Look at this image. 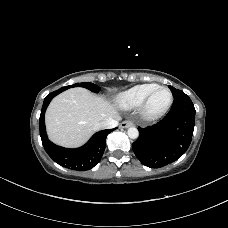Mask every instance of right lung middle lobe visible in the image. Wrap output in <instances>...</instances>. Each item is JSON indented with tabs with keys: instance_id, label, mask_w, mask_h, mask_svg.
<instances>
[{
	"instance_id": "dd1d6c3e",
	"label": "right lung middle lobe",
	"mask_w": 228,
	"mask_h": 228,
	"mask_svg": "<svg viewBox=\"0 0 228 228\" xmlns=\"http://www.w3.org/2000/svg\"><path fill=\"white\" fill-rule=\"evenodd\" d=\"M78 86H81V87H84L92 92H95V93H98L99 90H100V87H98L97 85L93 84V83H90V82H82L81 85H79L78 83L76 84H73V85H70V86H65V87H62L60 88L59 90L61 91H64L68 88H71V87H78Z\"/></svg>"
}]
</instances>
